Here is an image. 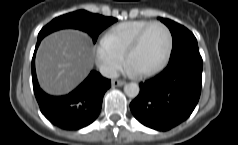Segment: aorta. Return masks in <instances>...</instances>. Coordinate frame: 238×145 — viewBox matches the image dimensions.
<instances>
[{"instance_id": "1", "label": "aorta", "mask_w": 238, "mask_h": 145, "mask_svg": "<svg viewBox=\"0 0 238 145\" xmlns=\"http://www.w3.org/2000/svg\"><path fill=\"white\" fill-rule=\"evenodd\" d=\"M139 91H140L139 85L136 83H128L124 86V92L130 98L137 97Z\"/></svg>"}]
</instances>
